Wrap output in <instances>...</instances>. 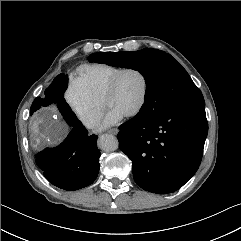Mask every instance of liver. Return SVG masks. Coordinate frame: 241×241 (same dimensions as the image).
Returning a JSON list of instances; mask_svg holds the SVG:
<instances>
[{
  "label": "liver",
  "instance_id": "6515ba94",
  "mask_svg": "<svg viewBox=\"0 0 241 241\" xmlns=\"http://www.w3.org/2000/svg\"><path fill=\"white\" fill-rule=\"evenodd\" d=\"M66 133V128L59 122L54 123V127L51 133V140L53 143H56L61 140V138Z\"/></svg>",
  "mask_w": 241,
  "mask_h": 241
}]
</instances>
